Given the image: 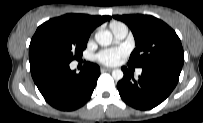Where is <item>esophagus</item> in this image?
Here are the masks:
<instances>
[{
    "label": "esophagus",
    "mask_w": 203,
    "mask_h": 123,
    "mask_svg": "<svg viewBox=\"0 0 203 123\" xmlns=\"http://www.w3.org/2000/svg\"><path fill=\"white\" fill-rule=\"evenodd\" d=\"M113 69L112 68H107V67H102L101 68V71H112Z\"/></svg>",
    "instance_id": "esophagus-1"
}]
</instances>
